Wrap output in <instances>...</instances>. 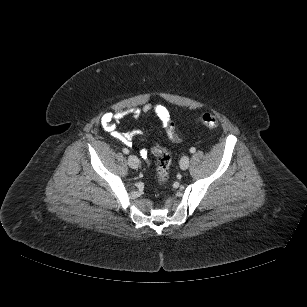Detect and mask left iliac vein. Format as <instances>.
Masks as SVG:
<instances>
[{"instance_id": "4c4485c4", "label": "left iliac vein", "mask_w": 307, "mask_h": 307, "mask_svg": "<svg viewBox=\"0 0 307 307\" xmlns=\"http://www.w3.org/2000/svg\"><path fill=\"white\" fill-rule=\"evenodd\" d=\"M189 167V157L183 156L180 160V168L186 170Z\"/></svg>"}]
</instances>
